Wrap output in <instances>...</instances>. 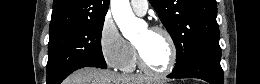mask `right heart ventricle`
Listing matches in <instances>:
<instances>
[{
	"label": "right heart ventricle",
	"instance_id": "right-heart-ventricle-1",
	"mask_svg": "<svg viewBox=\"0 0 260 84\" xmlns=\"http://www.w3.org/2000/svg\"><path fill=\"white\" fill-rule=\"evenodd\" d=\"M128 45H129L128 57H127L126 61L123 63V65L120 67V69L124 72H132L138 66L134 45L131 43H128Z\"/></svg>",
	"mask_w": 260,
	"mask_h": 84
}]
</instances>
